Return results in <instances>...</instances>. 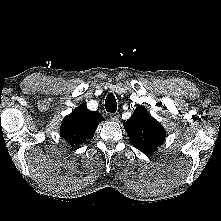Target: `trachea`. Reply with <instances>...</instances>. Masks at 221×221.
<instances>
[{
  "label": "trachea",
  "instance_id": "obj_1",
  "mask_svg": "<svg viewBox=\"0 0 221 221\" xmlns=\"http://www.w3.org/2000/svg\"><path fill=\"white\" fill-rule=\"evenodd\" d=\"M105 109L107 112L115 113L117 110V102L115 96L112 93H109L105 100Z\"/></svg>",
  "mask_w": 221,
  "mask_h": 221
}]
</instances>
